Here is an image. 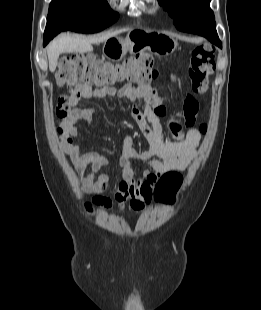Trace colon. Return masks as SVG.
<instances>
[{
    "label": "colon",
    "instance_id": "5ec220e1",
    "mask_svg": "<svg viewBox=\"0 0 261 310\" xmlns=\"http://www.w3.org/2000/svg\"><path fill=\"white\" fill-rule=\"evenodd\" d=\"M153 59L147 54L131 56L120 63H111L88 54H72L60 60L56 74L58 86L71 88L83 84L97 89L111 88L120 83L146 84L157 77L153 67ZM215 68V51L207 45L197 46L191 53L188 75L192 88L196 93H203L207 88L209 76ZM73 105L68 96L59 98L56 114L64 120ZM62 130V129H61ZM206 131V126H200ZM182 184V176L175 171L165 173L158 181L155 197L159 200L172 199ZM92 204L109 208L111 201L106 197L97 196ZM92 204H87L91 209Z\"/></svg>",
    "mask_w": 261,
    "mask_h": 310
}]
</instances>
